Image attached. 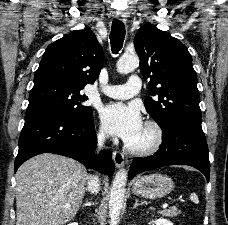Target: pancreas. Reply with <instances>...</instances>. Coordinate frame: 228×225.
Listing matches in <instances>:
<instances>
[{"label":"pancreas","mask_w":228,"mask_h":225,"mask_svg":"<svg viewBox=\"0 0 228 225\" xmlns=\"http://www.w3.org/2000/svg\"><path fill=\"white\" fill-rule=\"evenodd\" d=\"M160 215H163V217H177L179 213H177L176 207H169V209H164V211H160Z\"/></svg>","instance_id":"1"}]
</instances>
